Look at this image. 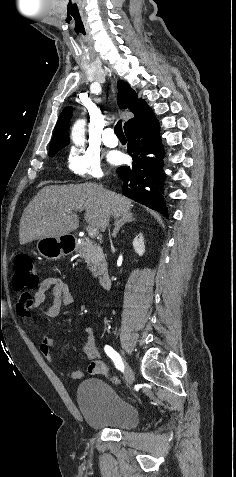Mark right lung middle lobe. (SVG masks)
Segmentation results:
<instances>
[{"label":"right lung middle lobe","instance_id":"dd1d6c3e","mask_svg":"<svg viewBox=\"0 0 236 477\" xmlns=\"http://www.w3.org/2000/svg\"><path fill=\"white\" fill-rule=\"evenodd\" d=\"M62 148H63V147L49 150V156H53L56 152H58V151H59L60 149H62Z\"/></svg>","mask_w":236,"mask_h":477}]
</instances>
